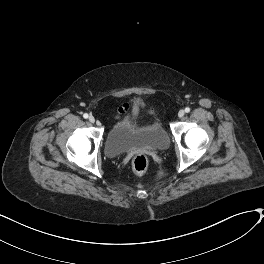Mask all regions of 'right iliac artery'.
Returning <instances> with one entry per match:
<instances>
[{"label":"right iliac artery","mask_w":264,"mask_h":264,"mask_svg":"<svg viewBox=\"0 0 264 264\" xmlns=\"http://www.w3.org/2000/svg\"><path fill=\"white\" fill-rule=\"evenodd\" d=\"M83 117H84L85 119H87V118L89 117V115H88L87 113H84V114H83Z\"/></svg>","instance_id":"right-iliac-artery-1"}]
</instances>
